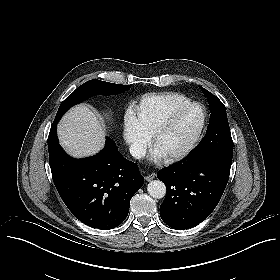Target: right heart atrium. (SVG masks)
Wrapping results in <instances>:
<instances>
[{
	"label": "right heart atrium",
	"mask_w": 280,
	"mask_h": 280,
	"mask_svg": "<svg viewBox=\"0 0 280 280\" xmlns=\"http://www.w3.org/2000/svg\"><path fill=\"white\" fill-rule=\"evenodd\" d=\"M129 142L134 150L139 153H143L146 150L147 142L141 135L131 134L129 136Z\"/></svg>",
	"instance_id": "obj_1"
}]
</instances>
